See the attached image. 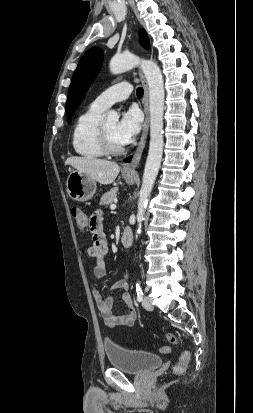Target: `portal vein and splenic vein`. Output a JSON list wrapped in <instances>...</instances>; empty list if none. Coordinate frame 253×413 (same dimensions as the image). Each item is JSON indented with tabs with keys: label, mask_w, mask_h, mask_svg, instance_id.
<instances>
[{
	"label": "portal vein and splenic vein",
	"mask_w": 253,
	"mask_h": 413,
	"mask_svg": "<svg viewBox=\"0 0 253 413\" xmlns=\"http://www.w3.org/2000/svg\"><path fill=\"white\" fill-rule=\"evenodd\" d=\"M110 209H111V210L116 209V204H111V205H110Z\"/></svg>",
	"instance_id": "18ae733b"
}]
</instances>
